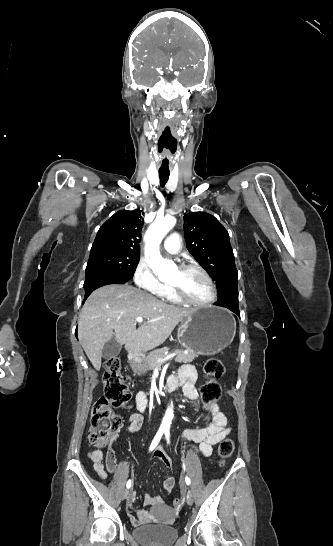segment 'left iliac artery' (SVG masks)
<instances>
[{
  "instance_id": "44dca946",
  "label": "left iliac artery",
  "mask_w": 333,
  "mask_h": 546,
  "mask_svg": "<svg viewBox=\"0 0 333 546\" xmlns=\"http://www.w3.org/2000/svg\"><path fill=\"white\" fill-rule=\"evenodd\" d=\"M165 437H166V440H167V443H170V432L169 430H165ZM185 482L187 485H190L191 481H190V478L188 476L185 477Z\"/></svg>"
}]
</instances>
